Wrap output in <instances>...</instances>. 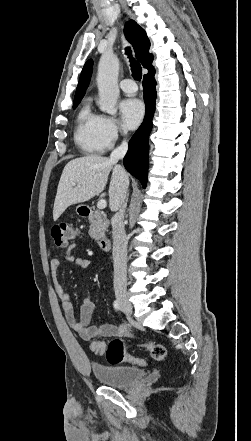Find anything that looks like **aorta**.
Here are the masks:
<instances>
[{
  "label": "aorta",
  "mask_w": 251,
  "mask_h": 441,
  "mask_svg": "<svg viewBox=\"0 0 251 441\" xmlns=\"http://www.w3.org/2000/svg\"><path fill=\"white\" fill-rule=\"evenodd\" d=\"M119 60L113 53H105L101 56L98 73L97 86L99 91V108L110 115L117 113V99L119 97L118 87Z\"/></svg>",
  "instance_id": "aorta-1"
}]
</instances>
